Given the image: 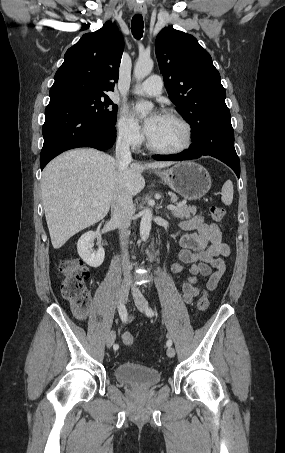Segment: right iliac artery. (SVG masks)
I'll return each mask as SVG.
<instances>
[{
    "instance_id": "right-iliac-artery-1",
    "label": "right iliac artery",
    "mask_w": 285,
    "mask_h": 453,
    "mask_svg": "<svg viewBox=\"0 0 285 453\" xmlns=\"http://www.w3.org/2000/svg\"><path fill=\"white\" fill-rule=\"evenodd\" d=\"M118 312H119V316L121 318V320L124 322L126 321V318H127V310H126V307L123 303H120L119 307H118ZM114 350H117L119 348V345L118 344H115L113 346Z\"/></svg>"
}]
</instances>
